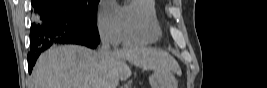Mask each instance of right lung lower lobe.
Wrapping results in <instances>:
<instances>
[{"label":"right lung lower lobe","mask_w":267,"mask_h":88,"mask_svg":"<svg viewBox=\"0 0 267 88\" xmlns=\"http://www.w3.org/2000/svg\"><path fill=\"white\" fill-rule=\"evenodd\" d=\"M34 23L31 27L28 68H32L39 54L57 43H74L96 48L100 43L97 24L84 21L53 0H32Z\"/></svg>","instance_id":"1"}]
</instances>
